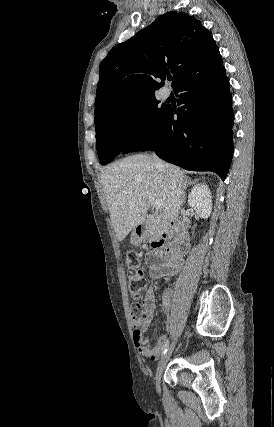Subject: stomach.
I'll list each match as a JSON object with an SVG mask.
<instances>
[{
	"mask_svg": "<svg viewBox=\"0 0 274 427\" xmlns=\"http://www.w3.org/2000/svg\"><path fill=\"white\" fill-rule=\"evenodd\" d=\"M143 237H144L143 233H141V235H138L136 231H132L130 241L131 243H134V245H138V243H141Z\"/></svg>",
	"mask_w": 274,
	"mask_h": 427,
	"instance_id": "0dacf381",
	"label": "stomach"
}]
</instances>
